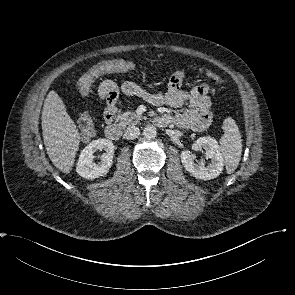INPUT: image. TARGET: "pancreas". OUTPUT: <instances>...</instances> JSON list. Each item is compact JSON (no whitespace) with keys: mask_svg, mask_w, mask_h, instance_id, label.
I'll list each match as a JSON object with an SVG mask.
<instances>
[{"mask_svg":"<svg viewBox=\"0 0 295 295\" xmlns=\"http://www.w3.org/2000/svg\"><path fill=\"white\" fill-rule=\"evenodd\" d=\"M142 119L143 117L141 115L132 111H127L124 113L119 112L117 116V120L120 121V124L122 126L136 124L140 122Z\"/></svg>","mask_w":295,"mask_h":295,"instance_id":"1","label":"pancreas"}]
</instances>
